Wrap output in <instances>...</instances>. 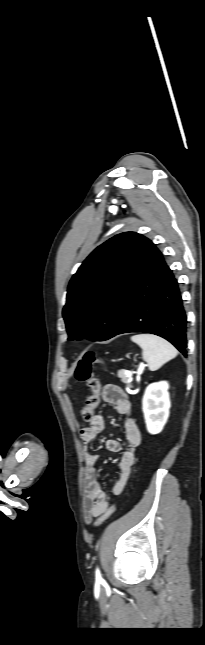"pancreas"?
I'll return each mask as SVG.
<instances>
[{
	"instance_id": "obj_1",
	"label": "pancreas",
	"mask_w": 205,
	"mask_h": 645,
	"mask_svg": "<svg viewBox=\"0 0 205 645\" xmlns=\"http://www.w3.org/2000/svg\"><path fill=\"white\" fill-rule=\"evenodd\" d=\"M125 370H120L118 372V377L121 379L123 383H125L128 386H131L132 378L131 376H127Z\"/></svg>"
}]
</instances>
